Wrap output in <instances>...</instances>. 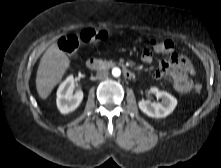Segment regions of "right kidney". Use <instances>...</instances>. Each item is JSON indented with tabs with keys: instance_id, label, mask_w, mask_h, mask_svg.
Wrapping results in <instances>:
<instances>
[{
	"instance_id": "right-kidney-1",
	"label": "right kidney",
	"mask_w": 221,
	"mask_h": 168,
	"mask_svg": "<svg viewBox=\"0 0 221 168\" xmlns=\"http://www.w3.org/2000/svg\"><path fill=\"white\" fill-rule=\"evenodd\" d=\"M74 78L72 75L68 76L64 82H62L57 90V107L62 114H68L74 111L83 100V91L79 90L76 93L74 91Z\"/></svg>"
}]
</instances>
